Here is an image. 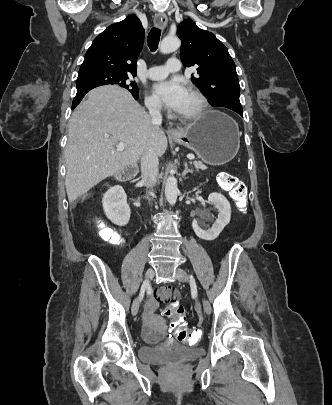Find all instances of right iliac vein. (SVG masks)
I'll return each instance as SVG.
<instances>
[{
    "label": "right iliac vein",
    "instance_id": "1",
    "mask_svg": "<svg viewBox=\"0 0 332 405\" xmlns=\"http://www.w3.org/2000/svg\"><path fill=\"white\" fill-rule=\"evenodd\" d=\"M153 276H154V269L152 268L148 269L145 274L144 282L148 283L153 278ZM139 307H140V296H137L131 307V312L133 316H135L138 313Z\"/></svg>",
    "mask_w": 332,
    "mask_h": 405
}]
</instances>
